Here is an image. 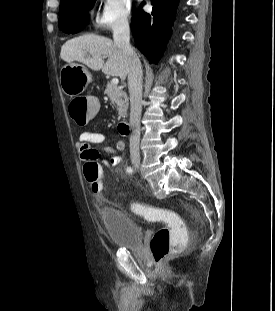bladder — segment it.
<instances>
[{"label":"bladder","instance_id":"bladder-1","mask_svg":"<svg viewBox=\"0 0 275 311\" xmlns=\"http://www.w3.org/2000/svg\"><path fill=\"white\" fill-rule=\"evenodd\" d=\"M100 220L113 247L141 248L143 230L127 213L115 209L101 208Z\"/></svg>","mask_w":275,"mask_h":311}]
</instances>
